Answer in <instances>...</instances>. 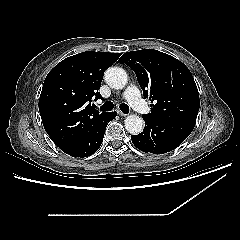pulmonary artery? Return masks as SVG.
I'll list each match as a JSON object with an SVG mask.
<instances>
[{"label": "pulmonary artery", "instance_id": "pulmonary-artery-1", "mask_svg": "<svg viewBox=\"0 0 240 240\" xmlns=\"http://www.w3.org/2000/svg\"><path fill=\"white\" fill-rule=\"evenodd\" d=\"M123 96L130 103L131 107L137 111L144 114L149 111L144 101L140 98L139 90L136 86H129Z\"/></svg>", "mask_w": 240, "mask_h": 240}]
</instances>
